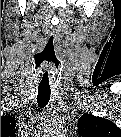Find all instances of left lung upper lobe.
Masks as SVG:
<instances>
[{
    "instance_id": "left-lung-upper-lobe-1",
    "label": "left lung upper lobe",
    "mask_w": 121,
    "mask_h": 137,
    "mask_svg": "<svg viewBox=\"0 0 121 137\" xmlns=\"http://www.w3.org/2000/svg\"><path fill=\"white\" fill-rule=\"evenodd\" d=\"M78 131L82 136H120V129L110 120L96 117L91 114H84L78 121Z\"/></svg>"
}]
</instances>
